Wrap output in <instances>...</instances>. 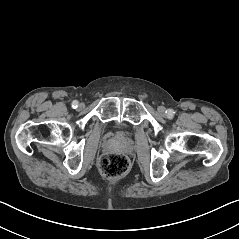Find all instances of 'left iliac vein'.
<instances>
[{
	"label": "left iliac vein",
	"instance_id": "obj_1",
	"mask_svg": "<svg viewBox=\"0 0 239 239\" xmlns=\"http://www.w3.org/2000/svg\"><path fill=\"white\" fill-rule=\"evenodd\" d=\"M158 112H159L160 115L166 116L167 110H166L165 107L159 106V107H158Z\"/></svg>",
	"mask_w": 239,
	"mask_h": 239
}]
</instances>
